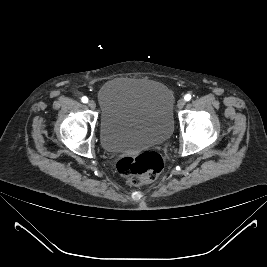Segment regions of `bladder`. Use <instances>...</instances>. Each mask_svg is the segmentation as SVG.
Here are the masks:
<instances>
[{
    "label": "bladder",
    "instance_id": "1",
    "mask_svg": "<svg viewBox=\"0 0 267 267\" xmlns=\"http://www.w3.org/2000/svg\"><path fill=\"white\" fill-rule=\"evenodd\" d=\"M100 140L109 152L132 151L167 141L174 128V99L157 81L116 78L98 91Z\"/></svg>",
    "mask_w": 267,
    "mask_h": 267
}]
</instances>
